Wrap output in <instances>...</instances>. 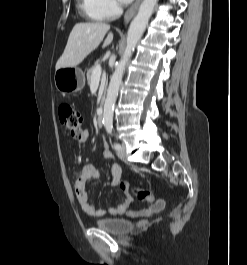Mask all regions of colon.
Masks as SVG:
<instances>
[{
  "instance_id": "obj_1",
  "label": "colon",
  "mask_w": 247,
  "mask_h": 265,
  "mask_svg": "<svg viewBox=\"0 0 247 265\" xmlns=\"http://www.w3.org/2000/svg\"><path fill=\"white\" fill-rule=\"evenodd\" d=\"M58 115L61 124L70 132L72 137L76 139L81 138L84 132L82 128L83 119L81 114L70 104L63 103L58 108ZM121 188L126 193L131 190L127 182H122ZM133 192L140 200L147 202L154 201V195L149 190L135 189Z\"/></svg>"
}]
</instances>
